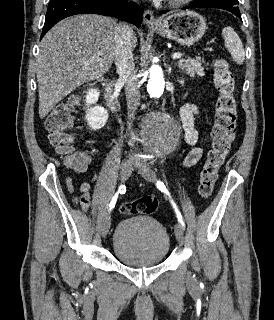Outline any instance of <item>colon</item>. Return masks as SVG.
Wrapping results in <instances>:
<instances>
[{
  "mask_svg": "<svg viewBox=\"0 0 274 320\" xmlns=\"http://www.w3.org/2000/svg\"><path fill=\"white\" fill-rule=\"evenodd\" d=\"M214 85L218 91L217 110L211 131V147L203 166L198 184V194L202 200L211 196L217 173L223 165L237 132V102L234 96V75L224 61L215 63ZM68 105L52 109L46 120V130L49 133L51 145L58 154L63 155L69 166L80 171L86 166L83 154L72 152L75 138L70 133L74 116ZM69 192L73 191L72 182L67 181ZM81 199V198H79ZM157 201L153 197L121 204L119 211L126 216L136 214H153L157 209Z\"/></svg>",
  "mask_w": 274,
  "mask_h": 320,
  "instance_id": "colon-1",
  "label": "colon"
}]
</instances>
